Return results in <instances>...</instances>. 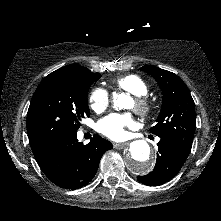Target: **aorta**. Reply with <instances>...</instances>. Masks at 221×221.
I'll return each mask as SVG.
<instances>
[{"instance_id":"1","label":"aorta","mask_w":221,"mask_h":221,"mask_svg":"<svg viewBox=\"0 0 221 221\" xmlns=\"http://www.w3.org/2000/svg\"><path fill=\"white\" fill-rule=\"evenodd\" d=\"M128 99L127 95L119 94L114 97V106L124 108V102ZM124 163L133 174L143 175L149 173L154 166L149 144L144 140L131 142L129 149L124 154Z\"/></svg>"}]
</instances>
